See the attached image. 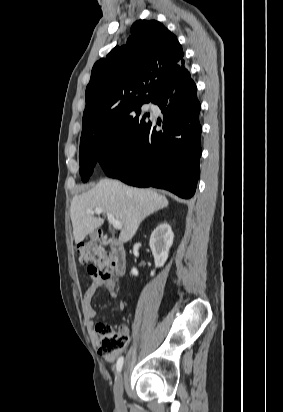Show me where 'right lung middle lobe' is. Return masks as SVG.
<instances>
[{
    "label": "right lung middle lobe",
    "mask_w": 283,
    "mask_h": 412,
    "mask_svg": "<svg viewBox=\"0 0 283 412\" xmlns=\"http://www.w3.org/2000/svg\"><path fill=\"white\" fill-rule=\"evenodd\" d=\"M141 106L132 109L114 128L80 140V174L87 182L99 162L102 167L125 156L136 138L148 124L149 114L141 113Z\"/></svg>",
    "instance_id": "right-lung-middle-lobe-1"
}]
</instances>
